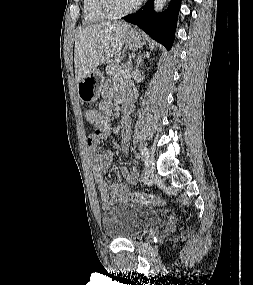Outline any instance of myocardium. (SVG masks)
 <instances>
[{
    "label": "myocardium",
    "instance_id": "obj_1",
    "mask_svg": "<svg viewBox=\"0 0 253 285\" xmlns=\"http://www.w3.org/2000/svg\"><path fill=\"white\" fill-rule=\"evenodd\" d=\"M142 0H137L131 7L125 10H115L110 0H94L95 10L108 19H118L135 12L141 5Z\"/></svg>",
    "mask_w": 253,
    "mask_h": 285
}]
</instances>
